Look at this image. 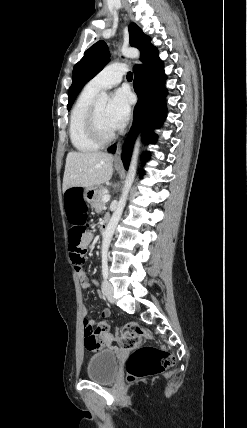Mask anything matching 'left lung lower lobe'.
<instances>
[{
    "label": "left lung lower lobe",
    "mask_w": 247,
    "mask_h": 428,
    "mask_svg": "<svg viewBox=\"0 0 247 428\" xmlns=\"http://www.w3.org/2000/svg\"><path fill=\"white\" fill-rule=\"evenodd\" d=\"M164 64L155 53L144 64L134 68V90L138 95V102L134 109V121L125 143L119 147L122 150V161L127 169L130 161L132 145L136 134L142 131L144 141L153 143L157 135L153 129L158 128L164 121L166 89L164 83L166 75ZM116 147L109 149L114 153ZM148 157V156H147Z\"/></svg>",
    "instance_id": "0a47b994"
}]
</instances>
